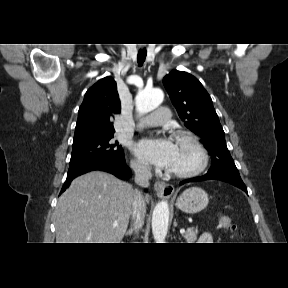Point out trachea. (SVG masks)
I'll list each match as a JSON object with an SVG mask.
<instances>
[{
	"label": "trachea",
	"instance_id": "3493384b",
	"mask_svg": "<svg viewBox=\"0 0 288 288\" xmlns=\"http://www.w3.org/2000/svg\"><path fill=\"white\" fill-rule=\"evenodd\" d=\"M146 55H147L146 49L139 50L138 55H137V61H138L139 66L143 65Z\"/></svg>",
	"mask_w": 288,
	"mask_h": 288
}]
</instances>
